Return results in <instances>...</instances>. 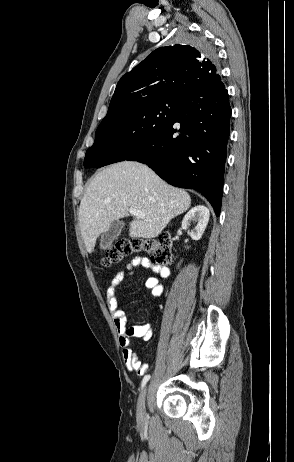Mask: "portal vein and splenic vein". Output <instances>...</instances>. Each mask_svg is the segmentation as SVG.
Here are the masks:
<instances>
[{
    "mask_svg": "<svg viewBox=\"0 0 294 462\" xmlns=\"http://www.w3.org/2000/svg\"><path fill=\"white\" fill-rule=\"evenodd\" d=\"M128 211L132 216H135L136 218H145V214L136 208H130Z\"/></svg>",
    "mask_w": 294,
    "mask_h": 462,
    "instance_id": "18ae733b",
    "label": "portal vein and splenic vein"
}]
</instances>
